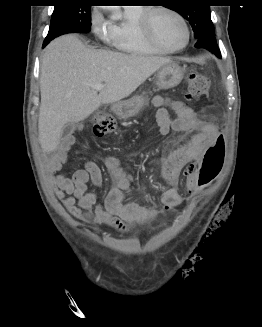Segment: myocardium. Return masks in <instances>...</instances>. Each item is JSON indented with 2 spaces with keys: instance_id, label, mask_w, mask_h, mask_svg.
Here are the masks:
<instances>
[{
  "instance_id": "1",
  "label": "myocardium",
  "mask_w": 262,
  "mask_h": 327,
  "mask_svg": "<svg viewBox=\"0 0 262 327\" xmlns=\"http://www.w3.org/2000/svg\"><path fill=\"white\" fill-rule=\"evenodd\" d=\"M158 11H164V12L171 13L182 22V24L184 25L185 30H186V40L182 46H180L178 48H168V47L164 46L157 39V37L154 34L153 27H152V17H153V14ZM138 24H139V28H140L142 34L147 39V41L152 46H154L155 48H157L165 53H176V52L182 51L183 49H185L188 46L190 39H191V30H190L187 20L179 11H177L176 9L171 8L169 6L158 5V6H152V7L145 8L139 17Z\"/></svg>"
}]
</instances>
